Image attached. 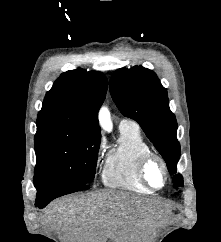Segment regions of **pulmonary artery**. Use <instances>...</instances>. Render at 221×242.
<instances>
[{
  "label": "pulmonary artery",
  "mask_w": 221,
  "mask_h": 242,
  "mask_svg": "<svg viewBox=\"0 0 221 242\" xmlns=\"http://www.w3.org/2000/svg\"><path fill=\"white\" fill-rule=\"evenodd\" d=\"M127 126H134V127H137V124L134 123L133 121H130V120H127V119H122L120 121V124H119V127H127Z\"/></svg>",
  "instance_id": "e3ab8cb5"
}]
</instances>
